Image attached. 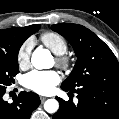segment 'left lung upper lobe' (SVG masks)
Masks as SVG:
<instances>
[{"label": "left lung upper lobe", "instance_id": "left-lung-upper-lobe-1", "mask_svg": "<svg viewBox=\"0 0 119 119\" xmlns=\"http://www.w3.org/2000/svg\"><path fill=\"white\" fill-rule=\"evenodd\" d=\"M52 30L70 42L78 58L61 86L77 89L86 85L119 84V63L115 55L92 31L71 23L54 24Z\"/></svg>", "mask_w": 119, "mask_h": 119}]
</instances>
